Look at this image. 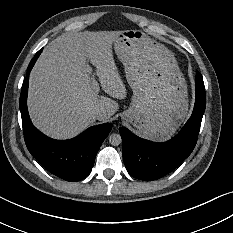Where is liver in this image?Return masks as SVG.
<instances>
[{
	"label": "liver",
	"instance_id": "obj_1",
	"mask_svg": "<svg viewBox=\"0 0 233 233\" xmlns=\"http://www.w3.org/2000/svg\"><path fill=\"white\" fill-rule=\"evenodd\" d=\"M120 31L66 32L44 47L29 74L27 109L32 124L55 140H68L95 121L96 109H104L100 121L119 110L117 99L126 94L111 54V44ZM94 67L106 95L91 86Z\"/></svg>",
	"mask_w": 233,
	"mask_h": 233
}]
</instances>
